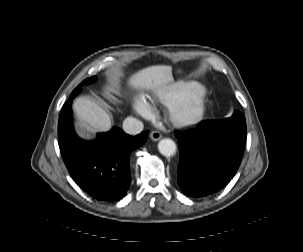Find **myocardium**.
<instances>
[{
  "label": "myocardium",
  "instance_id": "obj_1",
  "mask_svg": "<svg viewBox=\"0 0 303 252\" xmlns=\"http://www.w3.org/2000/svg\"><path fill=\"white\" fill-rule=\"evenodd\" d=\"M205 109L204 97H192L175 104L169 113L172 123L181 126L191 125L202 117Z\"/></svg>",
  "mask_w": 303,
  "mask_h": 252
}]
</instances>
